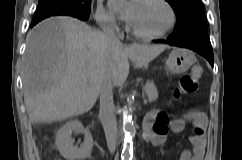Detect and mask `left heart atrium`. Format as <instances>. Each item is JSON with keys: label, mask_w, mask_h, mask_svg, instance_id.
<instances>
[{"label": "left heart atrium", "mask_w": 242, "mask_h": 160, "mask_svg": "<svg viewBox=\"0 0 242 160\" xmlns=\"http://www.w3.org/2000/svg\"><path fill=\"white\" fill-rule=\"evenodd\" d=\"M139 0H110L111 8L119 13L126 21L130 22L134 16Z\"/></svg>", "instance_id": "obj_1"}]
</instances>
